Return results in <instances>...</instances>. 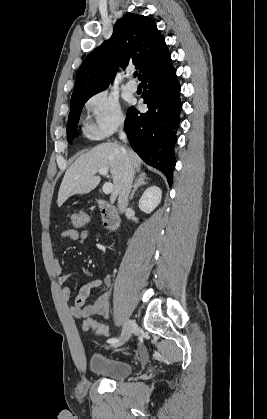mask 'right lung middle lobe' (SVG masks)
<instances>
[{"instance_id":"dd1d6c3e","label":"right lung middle lobe","mask_w":267,"mask_h":419,"mask_svg":"<svg viewBox=\"0 0 267 419\" xmlns=\"http://www.w3.org/2000/svg\"><path fill=\"white\" fill-rule=\"evenodd\" d=\"M91 96H85L79 99H72L70 103V113L68 116L67 135L68 142L71 143L75 136H78L77 126L82 107Z\"/></svg>"}]
</instances>
